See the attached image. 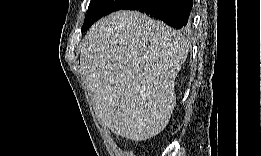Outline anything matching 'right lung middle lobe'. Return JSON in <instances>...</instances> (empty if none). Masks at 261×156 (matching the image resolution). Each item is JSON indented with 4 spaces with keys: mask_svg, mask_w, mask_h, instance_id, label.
I'll return each instance as SVG.
<instances>
[{
    "mask_svg": "<svg viewBox=\"0 0 261 156\" xmlns=\"http://www.w3.org/2000/svg\"><path fill=\"white\" fill-rule=\"evenodd\" d=\"M129 2L130 0H92L88 8V15L85 18L82 31L88 30L93 23L102 16L121 9Z\"/></svg>",
    "mask_w": 261,
    "mask_h": 156,
    "instance_id": "right-lung-middle-lobe-1",
    "label": "right lung middle lobe"
}]
</instances>
